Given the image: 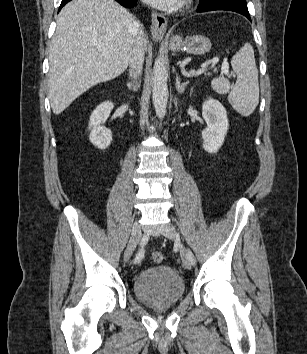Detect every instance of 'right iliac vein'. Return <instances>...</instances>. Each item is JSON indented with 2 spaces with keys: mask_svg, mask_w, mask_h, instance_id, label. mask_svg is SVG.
I'll list each match as a JSON object with an SVG mask.
<instances>
[{
  "mask_svg": "<svg viewBox=\"0 0 307 354\" xmlns=\"http://www.w3.org/2000/svg\"><path fill=\"white\" fill-rule=\"evenodd\" d=\"M141 240V229L139 223L136 221L133 224L131 236L127 245V248L124 253V261L127 262L132 256L137 244Z\"/></svg>",
  "mask_w": 307,
  "mask_h": 354,
  "instance_id": "obj_1",
  "label": "right iliac vein"
}]
</instances>
